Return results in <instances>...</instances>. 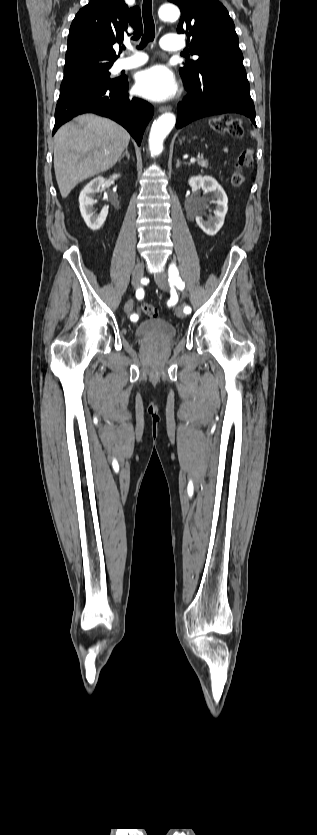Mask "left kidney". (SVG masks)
Instances as JSON below:
<instances>
[{
  "label": "left kidney",
  "mask_w": 317,
  "mask_h": 835,
  "mask_svg": "<svg viewBox=\"0 0 317 835\" xmlns=\"http://www.w3.org/2000/svg\"><path fill=\"white\" fill-rule=\"evenodd\" d=\"M189 185L192 189L202 188L205 191L212 193L215 199L211 201L216 205L214 216L210 217L208 221H204L202 217L196 216L195 220L198 226L210 236L215 235L223 226L226 213L228 211V197L224 189L211 176H194L189 179Z\"/></svg>",
  "instance_id": "obj_1"
}]
</instances>
